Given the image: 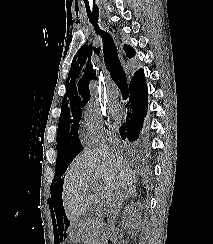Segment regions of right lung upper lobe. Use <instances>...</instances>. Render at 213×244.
<instances>
[{"label": "right lung upper lobe", "mask_w": 213, "mask_h": 244, "mask_svg": "<svg viewBox=\"0 0 213 244\" xmlns=\"http://www.w3.org/2000/svg\"><path fill=\"white\" fill-rule=\"evenodd\" d=\"M124 50L128 58L135 55V50L125 45ZM137 73V72H136ZM135 73V74H136ZM94 77L93 67L90 59L83 58L78 60L74 67L72 66L68 79H70L69 91H66L62 102V112L77 106H84L90 99L89 81Z\"/></svg>", "instance_id": "right-lung-upper-lobe-1"}]
</instances>
